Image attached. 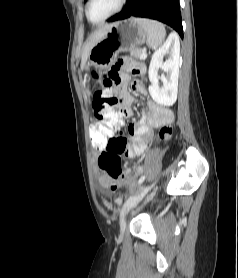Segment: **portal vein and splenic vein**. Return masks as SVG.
<instances>
[{
	"label": "portal vein and splenic vein",
	"mask_w": 238,
	"mask_h": 278,
	"mask_svg": "<svg viewBox=\"0 0 238 278\" xmlns=\"http://www.w3.org/2000/svg\"><path fill=\"white\" fill-rule=\"evenodd\" d=\"M146 57H147V54H146V50L144 49L143 53L141 55V59H146Z\"/></svg>",
	"instance_id": "obj_1"
}]
</instances>
